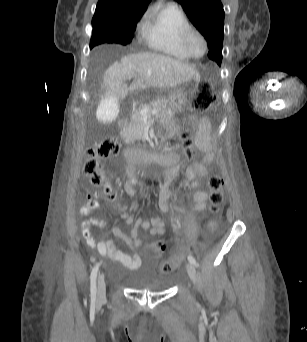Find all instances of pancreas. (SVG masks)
<instances>
[{"instance_id":"1","label":"pancreas","mask_w":307,"mask_h":342,"mask_svg":"<svg viewBox=\"0 0 307 342\" xmlns=\"http://www.w3.org/2000/svg\"><path fill=\"white\" fill-rule=\"evenodd\" d=\"M145 108H148L150 112L151 110H158L159 113L157 116L159 119H170L171 116H173V112L167 108V100H165V98H158V100H154V102L147 104ZM145 124L146 122H144L141 112H135V114L132 116V126H134V132H137V134L143 136Z\"/></svg>"}]
</instances>
